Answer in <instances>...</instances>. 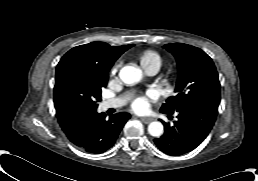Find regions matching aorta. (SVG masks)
<instances>
[{"instance_id":"762f6f07","label":"aorta","mask_w":258,"mask_h":181,"mask_svg":"<svg viewBox=\"0 0 258 181\" xmlns=\"http://www.w3.org/2000/svg\"><path fill=\"white\" fill-rule=\"evenodd\" d=\"M120 79L129 85H134L142 79V71L135 66L127 65L121 68L119 72ZM163 125L159 121L151 122L148 125V133L154 137H160L163 134Z\"/></svg>"}]
</instances>
